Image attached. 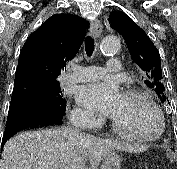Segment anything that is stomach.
<instances>
[{
  "label": "stomach",
  "instance_id": "obj_1",
  "mask_svg": "<svg viewBox=\"0 0 177 169\" xmlns=\"http://www.w3.org/2000/svg\"><path fill=\"white\" fill-rule=\"evenodd\" d=\"M120 165H121L120 156L116 152L111 151L104 158L103 164L100 169H120Z\"/></svg>",
  "mask_w": 177,
  "mask_h": 169
}]
</instances>
